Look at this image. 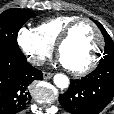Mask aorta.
Masks as SVG:
<instances>
[{
	"label": "aorta",
	"mask_w": 114,
	"mask_h": 114,
	"mask_svg": "<svg viewBox=\"0 0 114 114\" xmlns=\"http://www.w3.org/2000/svg\"><path fill=\"white\" fill-rule=\"evenodd\" d=\"M54 84L60 88V89H65L69 86V79L66 75L58 73L54 76Z\"/></svg>",
	"instance_id": "1"
}]
</instances>
